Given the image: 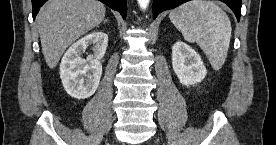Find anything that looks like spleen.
I'll return each instance as SVG.
<instances>
[{
	"label": "spleen",
	"mask_w": 276,
	"mask_h": 145,
	"mask_svg": "<svg viewBox=\"0 0 276 145\" xmlns=\"http://www.w3.org/2000/svg\"><path fill=\"white\" fill-rule=\"evenodd\" d=\"M169 18L184 39L196 42L214 70L225 63L231 39V23L227 14L214 2L188 1L170 12Z\"/></svg>",
	"instance_id": "obj_1"
}]
</instances>
